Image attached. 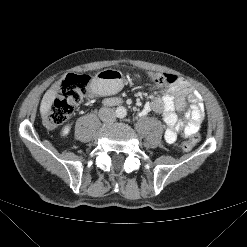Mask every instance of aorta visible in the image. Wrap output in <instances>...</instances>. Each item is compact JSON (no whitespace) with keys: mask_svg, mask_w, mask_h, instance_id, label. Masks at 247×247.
Instances as JSON below:
<instances>
[{"mask_svg":"<svg viewBox=\"0 0 247 247\" xmlns=\"http://www.w3.org/2000/svg\"><path fill=\"white\" fill-rule=\"evenodd\" d=\"M116 115L118 118H124L127 115V110L123 106H119L116 108Z\"/></svg>","mask_w":247,"mask_h":247,"instance_id":"1","label":"aorta"}]
</instances>
